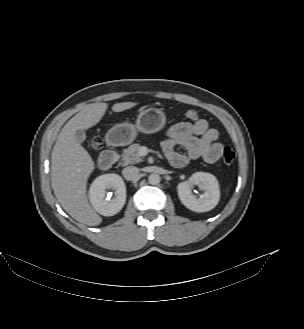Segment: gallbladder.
<instances>
[{
    "label": "gallbladder",
    "instance_id": "obj_1",
    "mask_svg": "<svg viewBox=\"0 0 304 329\" xmlns=\"http://www.w3.org/2000/svg\"><path fill=\"white\" fill-rule=\"evenodd\" d=\"M75 138L79 143L84 142V140L86 139V134H85L84 130H82V129L77 130L75 133Z\"/></svg>",
    "mask_w": 304,
    "mask_h": 329
}]
</instances>
